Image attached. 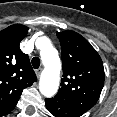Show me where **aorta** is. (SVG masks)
<instances>
[{
	"instance_id": "aorta-1",
	"label": "aorta",
	"mask_w": 117,
	"mask_h": 117,
	"mask_svg": "<svg viewBox=\"0 0 117 117\" xmlns=\"http://www.w3.org/2000/svg\"><path fill=\"white\" fill-rule=\"evenodd\" d=\"M36 46L40 49V56L44 65L39 90L45 97H53L60 84L61 62L57 50L52 46L47 37H40L36 40Z\"/></svg>"
}]
</instances>
